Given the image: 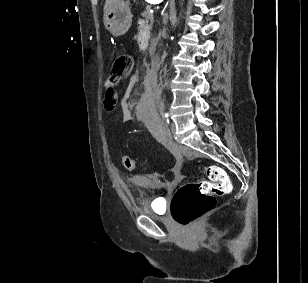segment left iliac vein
<instances>
[{"label":"left iliac vein","instance_id":"left-iliac-vein-1","mask_svg":"<svg viewBox=\"0 0 308 283\" xmlns=\"http://www.w3.org/2000/svg\"><path fill=\"white\" fill-rule=\"evenodd\" d=\"M175 130H176L175 124L171 123L170 126L165 130V138L171 141L173 139Z\"/></svg>","mask_w":308,"mask_h":283}]
</instances>
